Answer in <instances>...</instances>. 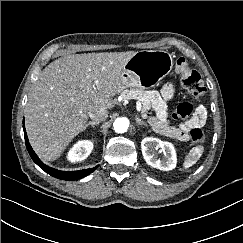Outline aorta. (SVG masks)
<instances>
[{"mask_svg":"<svg viewBox=\"0 0 243 243\" xmlns=\"http://www.w3.org/2000/svg\"><path fill=\"white\" fill-rule=\"evenodd\" d=\"M116 133H125L129 127V120L126 118H117L113 123Z\"/></svg>","mask_w":243,"mask_h":243,"instance_id":"aorta-1","label":"aorta"}]
</instances>
